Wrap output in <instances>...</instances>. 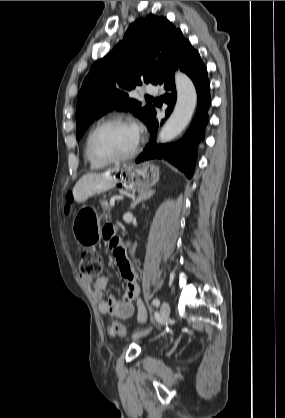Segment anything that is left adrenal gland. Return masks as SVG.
<instances>
[{
    "mask_svg": "<svg viewBox=\"0 0 285 418\" xmlns=\"http://www.w3.org/2000/svg\"><path fill=\"white\" fill-rule=\"evenodd\" d=\"M154 193H155L154 190L148 189L147 191L139 194L137 198L133 199L130 208L131 209H134L137 204H139V203H141L143 201H146L147 199H149L150 197H152Z\"/></svg>",
    "mask_w": 285,
    "mask_h": 418,
    "instance_id": "left-adrenal-gland-1",
    "label": "left adrenal gland"
}]
</instances>
